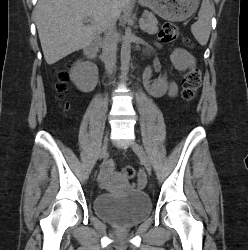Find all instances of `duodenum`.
Instances as JSON below:
<instances>
[{
  "label": "duodenum",
  "mask_w": 248,
  "mask_h": 250,
  "mask_svg": "<svg viewBox=\"0 0 248 250\" xmlns=\"http://www.w3.org/2000/svg\"><path fill=\"white\" fill-rule=\"evenodd\" d=\"M97 49H98V40L96 38L90 39L84 48V55L86 59L94 60L97 54Z\"/></svg>",
  "instance_id": "duodenum-1"
}]
</instances>
